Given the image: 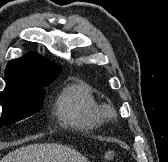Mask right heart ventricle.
<instances>
[{"instance_id": "1", "label": "right heart ventricle", "mask_w": 168, "mask_h": 162, "mask_svg": "<svg viewBox=\"0 0 168 162\" xmlns=\"http://www.w3.org/2000/svg\"><path fill=\"white\" fill-rule=\"evenodd\" d=\"M56 112L64 124L86 131L100 126L105 118L104 108L83 81H75L63 90L56 102Z\"/></svg>"}]
</instances>
